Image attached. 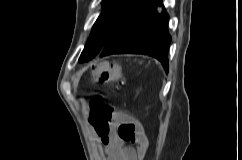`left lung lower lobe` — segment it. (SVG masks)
<instances>
[{"mask_svg": "<svg viewBox=\"0 0 242 160\" xmlns=\"http://www.w3.org/2000/svg\"><path fill=\"white\" fill-rule=\"evenodd\" d=\"M168 21L162 0H156L104 46L100 57L117 53L145 54L158 59L168 71L167 54L171 41Z\"/></svg>", "mask_w": 242, "mask_h": 160, "instance_id": "0a47b994", "label": "left lung lower lobe"}]
</instances>
